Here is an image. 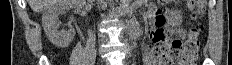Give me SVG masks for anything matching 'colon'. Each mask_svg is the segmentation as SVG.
Masks as SVG:
<instances>
[{
  "label": "colon",
  "mask_w": 232,
  "mask_h": 65,
  "mask_svg": "<svg viewBox=\"0 0 232 65\" xmlns=\"http://www.w3.org/2000/svg\"><path fill=\"white\" fill-rule=\"evenodd\" d=\"M191 18H201L206 10V0H189ZM199 27H193L188 37L183 42L180 39L157 36L155 55L161 62L173 64L178 60L179 65H195L199 51Z\"/></svg>",
  "instance_id": "5ec220e1"
}]
</instances>
